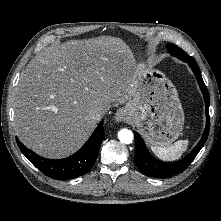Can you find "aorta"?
I'll list each match as a JSON object with an SVG mask.
<instances>
[{
	"label": "aorta",
	"instance_id": "762f6f07",
	"mask_svg": "<svg viewBox=\"0 0 221 221\" xmlns=\"http://www.w3.org/2000/svg\"><path fill=\"white\" fill-rule=\"evenodd\" d=\"M118 138L120 140L121 143L123 144H130L133 141V133L131 130L129 129H121L118 132Z\"/></svg>",
	"mask_w": 221,
	"mask_h": 221
}]
</instances>
